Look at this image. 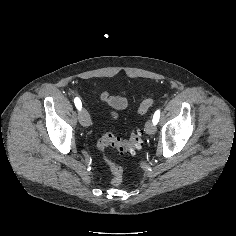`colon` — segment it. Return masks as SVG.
Here are the masks:
<instances>
[{
    "label": "colon",
    "mask_w": 236,
    "mask_h": 236,
    "mask_svg": "<svg viewBox=\"0 0 236 236\" xmlns=\"http://www.w3.org/2000/svg\"><path fill=\"white\" fill-rule=\"evenodd\" d=\"M154 104L153 98L145 99L138 107L137 113L142 115L146 113ZM142 146V132L138 128L132 129L130 136L127 139L119 138L113 134L103 135L97 142V148L100 152H104L107 148H113L120 153H135ZM108 166L112 179L111 183L114 186H119L123 181V169L121 166L110 161L106 157L103 158Z\"/></svg>",
    "instance_id": "obj_1"
}]
</instances>
